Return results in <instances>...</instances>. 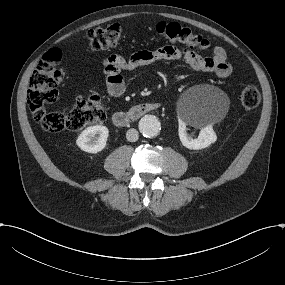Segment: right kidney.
Segmentation results:
<instances>
[{
	"label": "right kidney",
	"mask_w": 285,
	"mask_h": 285,
	"mask_svg": "<svg viewBox=\"0 0 285 285\" xmlns=\"http://www.w3.org/2000/svg\"><path fill=\"white\" fill-rule=\"evenodd\" d=\"M99 133L98 141L94 138ZM109 129L104 125H92L84 129L77 137L75 144L84 152L97 154L105 149Z\"/></svg>",
	"instance_id": "ca27d5eb"
}]
</instances>
